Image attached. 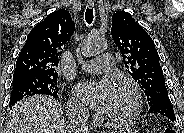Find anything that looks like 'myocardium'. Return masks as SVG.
I'll list each match as a JSON object with an SVG mask.
<instances>
[{
  "mask_svg": "<svg viewBox=\"0 0 184 133\" xmlns=\"http://www.w3.org/2000/svg\"><path fill=\"white\" fill-rule=\"evenodd\" d=\"M119 90L127 93L131 97V109L120 117L107 116V119L117 125H125L135 120L142 111L143 101L138 87L132 83L127 82L119 86Z\"/></svg>",
  "mask_w": 184,
  "mask_h": 133,
  "instance_id": "f54148a6",
  "label": "myocardium"
}]
</instances>
